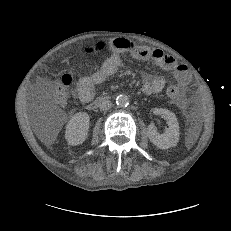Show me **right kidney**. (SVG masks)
Instances as JSON below:
<instances>
[{
    "label": "right kidney",
    "instance_id": "ca27d5eb",
    "mask_svg": "<svg viewBox=\"0 0 231 231\" xmlns=\"http://www.w3.org/2000/svg\"><path fill=\"white\" fill-rule=\"evenodd\" d=\"M90 117L86 112H79L72 116L66 126L65 138L67 142L76 146L82 144L89 131Z\"/></svg>",
    "mask_w": 231,
    "mask_h": 231
}]
</instances>
